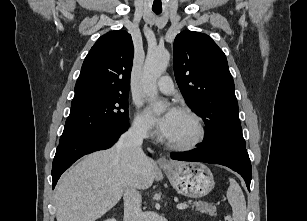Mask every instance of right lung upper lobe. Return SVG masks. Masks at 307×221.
I'll use <instances>...</instances> for the list:
<instances>
[{"label":"right lung upper lobe","instance_id":"right-lung-upper-lobe-1","mask_svg":"<svg viewBox=\"0 0 307 221\" xmlns=\"http://www.w3.org/2000/svg\"><path fill=\"white\" fill-rule=\"evenodd\" d=\"M133 55L128 32L115 30L101 36L83 62L72 102L128 93Z\"/></svg>","mask_w":307,"mask_h":221}]
</instances>
